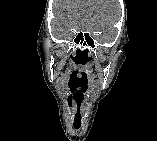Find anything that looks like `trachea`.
<instances>
[{
    "mask_svg": "<svg viewBox=\"0 0 157 141\" xmlns=\"http://www.w3.org/2000/svg\"><path fill=\"white\" fill-rule=\"evenodd\" d=\"M80 127H81V126H74V128L77 129V130H78Z\"/></svg>",
    "mask_w": 157,
    "mask_h": 141,
    "instance_id": "obj_1",
    "label": "trachea"
}]
</instances>
